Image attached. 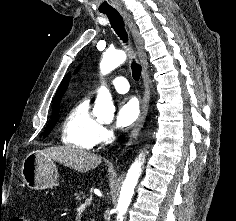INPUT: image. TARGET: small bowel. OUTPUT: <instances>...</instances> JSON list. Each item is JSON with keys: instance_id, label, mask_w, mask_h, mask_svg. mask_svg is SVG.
<instances>
[{"instance_id": "small-bowel-1", "label": "small bowel", "mask_w": 236, "mask_h": 221, "mask_svg": "<svg viewBox=\"0 0 236 221\" xmlns=\"http://www.w3.org/2000/svg\"><path fill=\"white\" fill-rule=\"evenodd\" d=\"M43 221H50V220L47 218V219H44Z\"/></svg>"}]
</instances>
